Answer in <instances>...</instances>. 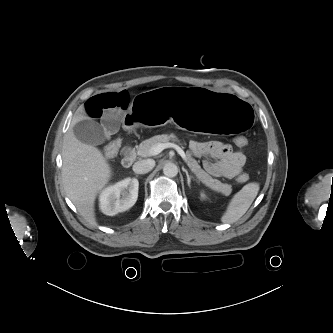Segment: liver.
Listing matches in <instances>:
<instances>
[{"instance_id": "liver-1", "label": "liver", "mask_w": 333, "mask_h": 333, "mask_svg": "<svg viewBox=\"0 0 333 333\" xmlns=\"http://www.w3.org/2000/svg\"><path fill=\"white\" fill-rule=\"evenodd\" d=\"M74 114L62 146V183L67 197L90 224H96L94 203L111 177V169L101 151L79 141L72 127L88 117Z\"/></svg>"}]
</instances>
